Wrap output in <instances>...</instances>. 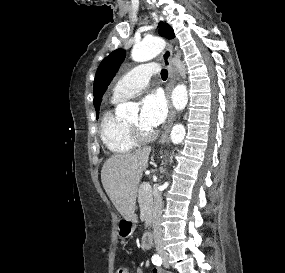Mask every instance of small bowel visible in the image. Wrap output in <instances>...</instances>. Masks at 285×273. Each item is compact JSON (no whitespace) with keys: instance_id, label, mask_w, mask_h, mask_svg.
Returning <instances> with one entry per match:
<instances>
[{"instance_id":"obj_1","label":"small bowel","mask_w":285,"mask_h":273,"mask_svg":"<svg viewBox=\"0 0 285 273\" xmlns=\"http://www.w3.org/2000/svg\"><path fill=\"white\" fill-rule=\"evenodd\" d=\"M130 273H133V272L130 271ZM134 273H143V270H142L141 267H138V268L134 271ZM152 273H163V271H162V270H159V269H155V270L152 271Z\"/></svg>"}]
</instances>
